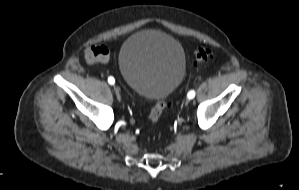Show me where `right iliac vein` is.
<instances>
[{"label": "right iliac vein", "mask_w": 299, "mask_h": 190, "mask_svg": "<svg viewBox=\"0 0 299 190\" xmlns=\"http://www.w3.org/2000/svg\"><path fill=\"white\" fill-rule=\"evenodd\" d=\"M114 91L116 93L117 98L121 99L120 89L117 86H114Z\"/></svg>", "instance_id": "obj_1"}]
</instances>
